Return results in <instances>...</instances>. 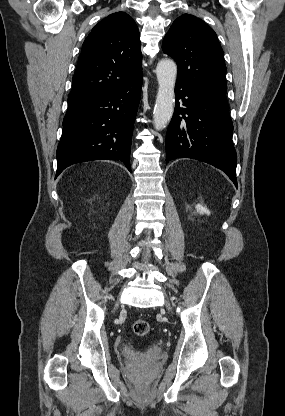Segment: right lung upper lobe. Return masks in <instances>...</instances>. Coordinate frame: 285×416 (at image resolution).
Returning a JSON list of instances; mask_svg holds the SVG:
<instances>
[{"label":"right lung upper lobe","instance_id":"obj_1","mask_svg":"<svg viewBox=\"0 0 285 416\" xmlns=\"http://www.w3.org/2000/svg\"><path fill=\"white\" fill-rule=\"evenodd\" d=\"M141 61L135 21L125 12L110 14L93 27L83 43L68 107L110 94L142 76Z\"/></svg>","mask_w":285,"mask_h":416}]
</instances>
